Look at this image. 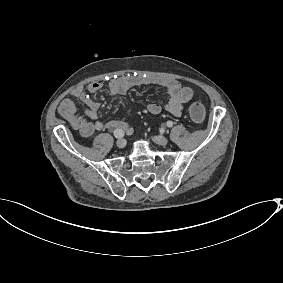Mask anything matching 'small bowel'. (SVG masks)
Instances as JSON below:
<instances>
[{
    "label": "small bowel",
    "instance_id": "small-bowel-1",
    "mask_svg": "<svg viewBox=\"0 0 283 283\" xmlns=\"http://www.w3.org/2000/svg\"><path fill=\"white\" fill-rule=\"evenodd\" d=\"M157 85L160 86L168 97L164 109L173 116L179 117L182 114L183 106L193 97V90L188 86H183L179 81L170 78H158L141 75H123L112 79L108 84L111 95H124L136 86ZM103 87L99 81H94L87 86H79L72 92L84 105V115L77 112L74 102L70 98L62 100L58 107L59 114L77 130L83 138L90 139L97 132L121 129L126 134L133 133V127L121 120H110L103 122L99 119L100 103L89 97L90 93H95ZM163 107L157 103H149L147 110L151 114H159ZM86 118L94 120L89 122Z\"/></svg>",
    "mask_w": 283,
    "mask_h": 283
}]
</instances>
